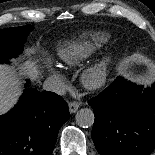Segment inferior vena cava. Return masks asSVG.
<instances>
[{
    "mask_svg": "<svg viewBox=\"0 0 155 155\" xmlns=\"http://www.w3.org/2000/svg\"><path fill=\"white\" fill-rule=\"evenodd\" d=\"M43 88L47 91L63 95L65 93V86L62 82L55 79H48L44 82Z\"/></svg>",
    "mask_w": 155,
    "mask_h": 155,
    "instance_id": "1",
    "label": "inferior vena cava"
}]
</instances>
